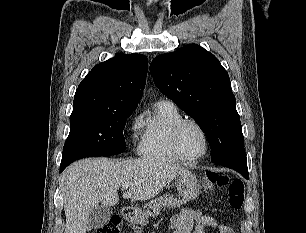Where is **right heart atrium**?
Segmentation results:
<instances>
[{
  "label": "right heart atrium",
  "mask_w": 306,
  "mask_h": 233,
  "mask_svg": "<svg viewBox=\"0 0 306 233\" xmlns=\"http://www.w3.org/2000/svg\"><path fill=\"white\" fill-rule=\"evenodd\" d=\"M140 127V118L139 117H135L132 122H131V126L130 129L133 132H137L139 130ZM130 142L133 143L134 142V138H130Z\"/></svg>",
  "instance_id": "obj_1"
}]
</instances>
